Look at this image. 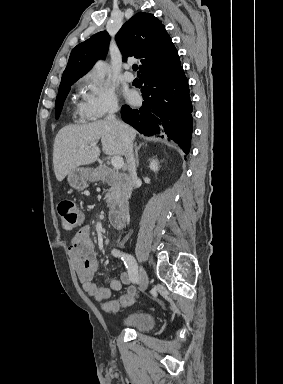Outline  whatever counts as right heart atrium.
<instances>
[{
    "mask_svg": "<svg viewBox=\"0 0 283 384\" xmlns=\"http://www.w3.org/2000/svg\"><path fill=\"white\" fill-rule=\"evenodd\" d=\"M81 103L79 116L91 125H99L102 120L119 110V99L114 87L93 73L85 74L79 82Z\"/></svg>",
    "mask_w": 283,
    "mask_h": 384,
    "instance_id": "right-heart-atrium-1",
    "label": "right heart atrium"
}]
</instances>
